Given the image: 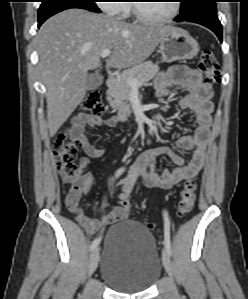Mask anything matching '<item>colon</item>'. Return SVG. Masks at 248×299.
Returning <instances> with one entry per match:
<instances>
[{"mask_svg": "<svg viewBox=\"0 0 248 299\" xmlns=\"http://www.w3.org/2000/svg\"><path fill=\"white\" fill-rule=\"evenodd\" d=\"M199 67L204 74L205 83L213 85L220 81L221 72L218 61L211 50H203L200 54ZM81 109L89 114L99 116L104 111L101 101V94L92 91L81 104ZM82 146V141L78 138H69L67 133H62L53 142L54 154L57 160V171L62 183L67 186L66 205L74 213H80V199L83 192V181L80 177V169L76 162V154ZM197 180L192 177L188 179L181 191L177 206V216L183 218L188 215L194 205L197 194ZM130 208L129 200L121 203L120 213L126 217ZM149 228H153L152 223H147Z\"/></svg>", "mask_w": 248, "mask_h": 299, "instance_id": "1", "label": "colon"}]
</instances>
